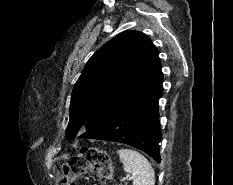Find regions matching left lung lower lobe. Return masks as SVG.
I'll return each instance as SVG.
<instances>
[{"label":"left lung lower lobe","instance_id":"left-lung-lower-lobe-1","mask_svg":"<svg viewBox=\"0 0 233 185\" xmlns=\"http://www.w3.org/2000/svg\"><path fill=\"white\" fill-rule=\"evenodd\" d=\"M161 63L140 78L114 104L106 118L79 138L128 144L160 163L158 100L162 95Z\"/></svg>","mask_w":233,"mask_h":185}]
</instances>
